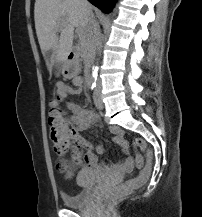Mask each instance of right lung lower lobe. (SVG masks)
<instances>
[{"label":"right lung lower lobe","mask_w":202,"mask_h":217,"mask_svg":"<svg viewBox=\"0 0 202 217\" xmlns=\"http://www.w3.org/2000/svg\"><path fill=\"white\" fill-rule=\"evenodd\" d=\"M93 5L101 9L104 13H109L116 0H88Z\"/></svg>","instance_id":"right-lung-lower-lobe-1"}]
</instances>
